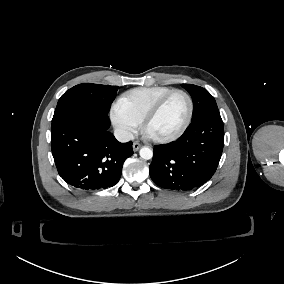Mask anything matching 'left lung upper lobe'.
<instances>
[{
  "mask_svg": "<svg viewBox=\"0 0 284 284\" xmlns=\"http://www.w3.org/2000/svg\"><path fill=\"white\" fill-rule=\"evenodd\" d=\"M190 93L193 100L192 121L208 114H220L214 97L204 88L192 85L182 84Z\"/></svg>",
  "mask_w": 284,
  "mask_h": 284,
  "instance_id": "5c2ea615",
  "label": "left lung upper lobe"
}]
</instances>
